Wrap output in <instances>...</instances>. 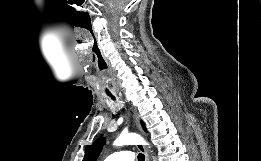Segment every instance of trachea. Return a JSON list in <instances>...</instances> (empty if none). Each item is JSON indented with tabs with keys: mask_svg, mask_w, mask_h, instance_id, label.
Masks as SVG:
<instances>
[{
	"mask_svg": "<svg viewBox=\"0 0 261 161\" xmlns=\"http://www.w3.org/2000/svg\"><path fill=\"white\" fill-rule=\"evenodd\" d=\"M113 100H115V97H111ZM145 160V155L140 153L138 154V161H144Z\"/></svg>",
	"mask_w": 261,
	"mask_h": 161,
	"instance_id": "3493384b",
	"label": "trachea"
}]
</instances>
